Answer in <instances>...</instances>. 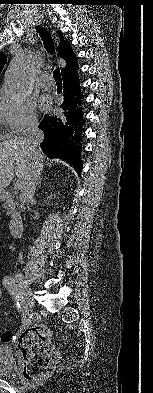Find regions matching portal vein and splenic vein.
Returning <instances> with one entry per match:
<instances>
[{"label":"portal vein and splenic vein","instance_id":"portal-vein-and-splenic-vein-1","mask_svg":"<svg viewBox=\"0 0 153 393\" xmlns=\"http://www.w3.org/2000/svg\"><path fill=\"white\" fill-rule=\"evenodd\" d=\"M21 186V184L20 183H16L15 185H14V187L17 189V188H19Z\"/></svg>","mask_w":153,"mask_h":393}]
</instances>
